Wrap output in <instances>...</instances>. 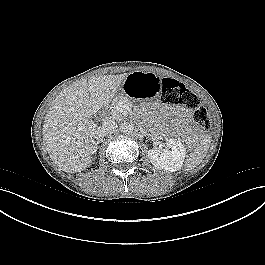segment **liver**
Masks as SVG:
<instances>
[{"mask_svg":"<svg viewBox=\"0 0 265 265\" xmlns=\"http://www.w3.org/2000/svg\"><path fill=\"white\" fill-rule=\"evenodd\" d=\"M127 74L101 75L65 88L52 102L43 125V142L52 161L64 172L86 169L98 149V130L90 119L109 105Z\"/></svg>","mask_w":265,"mask_h":265,"instance_id":"1","label":"liver"}]
</instances>
